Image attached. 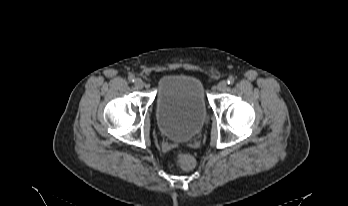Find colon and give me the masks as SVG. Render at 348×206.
<instances>
[{
	"mask_svg": "<svg viewBox=\"0 0 348 206\" xmlns=\"http://www.w3.org/2000/svg\"><path fill=\"white\" fill-rule=\"evenodd\" d=\"M176 164L184 170H191L195 166L194 158L186 153H180L176 157Z\"/></svg>",
	"mask_w": 348,
	"mask_h": 206,
	"instance_id": "5ec220e1",
	"label": "colon"
}]
</instances>
